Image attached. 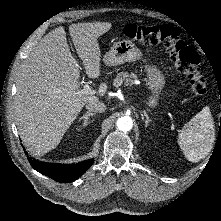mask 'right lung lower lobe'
Instances as JSON below:
<instances>
[{"instance_id": "obj_1", "label": "right lung lower lobe", "mask_w": 221, "mask_h": 221, "mask_svg": "<svg viewBox=\"0 0 221 221\" xmlns=\"http://www.w3.org/2000/svg\"><path fill=\"white\" fill-rule=\"evenodd\" d=\"M31 166L38 172L52 178L60 183L73 182L84 174L93 164L94 159H89L76 164H58L41 162L31 158L26 153Z\"/></svg>"}]
</instances>
